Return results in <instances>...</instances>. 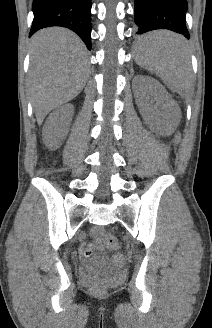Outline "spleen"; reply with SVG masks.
I'll return each instance as SVG.
<instances>
[{
  "instance_id": "obj_1",
  "label": "spleen",
  "mask_w": 212,
  "mask_h": 328,
  "mask_svg": "<svg viewBox=\"0 0 212 328\" xmlns=\"http://www.w3.org/2000/svg\"><path fill=\"white\" fill-rule=\"evenodd\" d=\"M144 38L151 45L137 47L136 63L159 76L172 91L190 89L192 71L185 39L169 31L153 32Z\"/></svg>"
}]
</instances>
